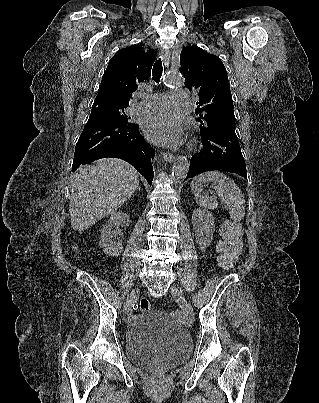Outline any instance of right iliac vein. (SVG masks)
<instances>
[{"label":"right iliac vein","instance_id":"right-iliac-vein-1","mask_svg":"<svg viewBox=\"0 0 319 403\" xmlns=\"http://www.w3.org/2000/svg\"><path fill=\"white\" fill-rule=\"evenodd\" d=\"M138 295H139V289H138V288L134 289V290L130 293V295L128 296V298H127V300H126V302H125V304H124V313H125V314H128V313L130 312V310H131V308H132L134 302H135V301L137 300V298H138Z\"/></svg>","mask_w":319,"mask_h":403}]
</instances>
